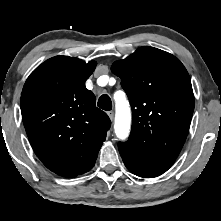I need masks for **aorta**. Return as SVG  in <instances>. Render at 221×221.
Masks as SVG:
<instances>
[{
  "label": "aorta",
  "instance_id": "obj_1",
  "mask_svg": "<svg viewBox=\"0 0 221 221\" xmlns=\"http://www.w3.org/2000/svg\"><path fill=\"white\" fill-rule=\"evenodd\" d=\"M131 111L127 102H119L116 106L115 134L120 140H125L130 133Z\"/></svg>",
  "mask_w": 221,
  "mask_h": 221
}]
</instances>
